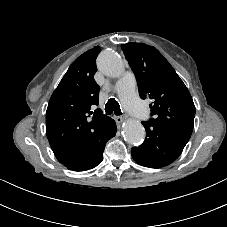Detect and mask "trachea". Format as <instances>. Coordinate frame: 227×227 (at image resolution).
I'll return each mask as SVG.
<instances>
[{"label":"trachea","instance_id":"trachea-1","mask_svg":"<svg viewBox=\"0 0 227 227\" xmlns=\"http://www.w3.org/2000/svg\"><path fill=\"white\" fill-rule=\"evenodd\" d=\"M105 113L106 115H110L114 113L117 116L122 114L119 103L114 99L111 98L105 105Z\"/></svg>","mask_w":227,"mask_h":227}]
</instances>
